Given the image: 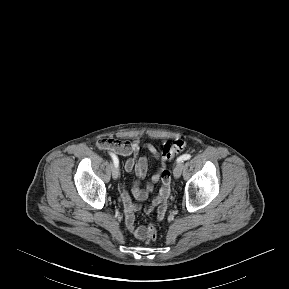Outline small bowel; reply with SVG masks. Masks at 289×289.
Returning <instances> with one entry per match:
<instances>
[{
	"mask_svg": "<svg viewBox=\"0 0 289 289\" xmlns=\"http://www.w3.org/2000/svg\"><path fill=\"white\" fill-rule=\"evenodd\" d=\"M100 149L108 150L113 154L121 156H128L129 158L124 163V168L129 173H134L139 178H144L148 171V161L145 156H140V151L145 148L148 152L161 160V167L151 176V181L145 187H142L139 183H135L132 186L131 192L126 190V187L122 184L120 186V195L123 202L125 224L130 233L139 240L147 239V228L144 226H136L135 213L139 210V207L133 203L135 198L138 201H145L149 194L153 191L154 185L160 180L162 185L160 186V192L158 196L153 200L150 207L146 212L151 213L157 208V217L162 220L166 217L168 209V203L170 198L171 179L170 171L165 165L166 159L162 157V154L152 144L141 145L138 141H118L113 139H103L98 143Z\"/></svg>",
	"mask_w": 289,
	"mask_h": 289,
	"instance_id": "obj_1",
	"label": "small bowel"
}]
</instances>
